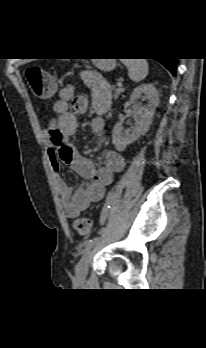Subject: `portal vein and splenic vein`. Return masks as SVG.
<instances>
[{"mask_svg": "<svg viewBox=\"0 0 206 348\" xmlns=\"http://www.w3.org/2000/svg\"><path fill=\"white\" fill-rule=\"evenodd\" d=\"M117 86L121 87V86H122V82L119 81V82L117 83Z\"/></svg>", "mask_w": 206, "mask_h": 348, "instance_id": "obj_1", "label": "portal vein and splenic vein"}]
</instances>
